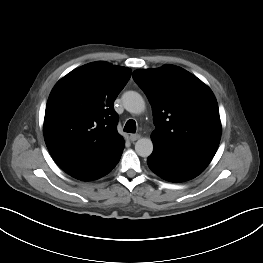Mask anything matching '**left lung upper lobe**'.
<instances>
[{"mask_svg":"<svg viewBox=\"0 0 263 263\" xmlns=\"http://www.w3.org/2000/svg\"><path fill=\"white\" fill-rule=\"evenodd\" d=\"M132 77L152 106L155 125L152 138L218 148L221 138L218 104L213 92L200 79L173 65L135 70Z\"/></svg>","mask_w":263,"mask_h":263,"instance_id":"5c2ea615","label":"left lung upper lobe"}]
</instances>
